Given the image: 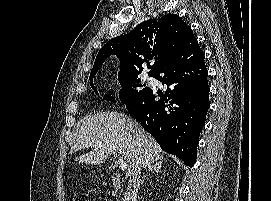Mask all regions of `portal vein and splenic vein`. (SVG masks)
Segmentation results:
<instances>
[{
  "label": "portal vein and splenic vein",
  "mask_w": 271,
  "mask_h": 201,
  "mask_svg": "<svg viewBox=\"0 0 271 201\" xmlns=\"http://www.w3.org/2000/svg\"><path fill=\"white\" fill-rule=\"evenodd\" d=\"M117 155V154H116ZM117 163L119 164V168L121 169V170H125V169H127V167H128V163L126 162V161H124L123 160V157L121 156V154H119L118 153V161H117Z\"/></svg>",
  "instance_id": "1"
}]
</instances>
